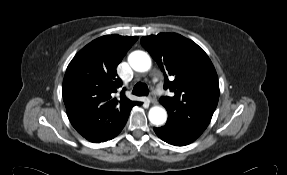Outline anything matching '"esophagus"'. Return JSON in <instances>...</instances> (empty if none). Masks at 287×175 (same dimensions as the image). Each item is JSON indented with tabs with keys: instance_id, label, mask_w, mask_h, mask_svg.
I'll list each match as a JSON object with an SVG mask.
<instances>
[{
	"instance_id": "1",
	"label": "esophagus",
	"mask_w": 287,
	"mask_h": 175,
	"mask_svg": "<svg viewBox=\"0 0 287 175\" xmlns=\"http://www.w3.org/2000/svg\"><path fill=\"white\" fill-rule=\"evenodd\" d=\"M149 101L152 104H156L157 103L156 97H155L154 93H152V92L149 94Z\"/></svg>"
}]
</instances>
